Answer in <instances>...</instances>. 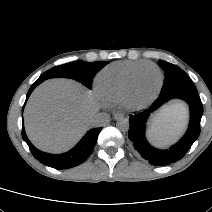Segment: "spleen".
<instances>
[{
    "mask_svg": "<svg viewBox=\"0 0 212 212\" xmlns=\"http://www.w3.org/2000/svg\"><path fill=\"white\" fill-rule=\"evenodd\" d=\"M180 106V105H179ZM150 138L154 144L157 145H167L169 144L173 137L166 134H154L150 131Z\"/></svg>",
    "mask_w": 212,
    "mask_h": 212,
    "instance_id": "spleen-1",
    "label": "spleen"
}]
</instances>
